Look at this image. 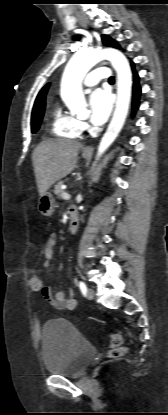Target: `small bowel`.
<instances>
[{"instance_id":"c3829d8e","label":"small bowel","mask_w":168,"mask_h":415,"mask_svg":"<svg viewBox=\"0 0 168 415\" xmlns=\"http://www.w3.org/2000/svg\"><path fill=\"white\" fill-rule=\"evenodd\" d=\"M56 235L51 234L44 243L43 246V254L46 260L43 262V268L48 269L51 266V258L54 254V248L56 246ZM38 271H33V273ZM32 273V274H33ZM39 273V272H38ZM40 274V273H39ZM43 284V281H42ZM43 297L49 302L51 306L59 310H74L77 305L76 299H74L71 295H66L65 292H57L53 294L51 288L49 286H45L43 284V289L40 291Z\"/></svg>"}]
</instances>
